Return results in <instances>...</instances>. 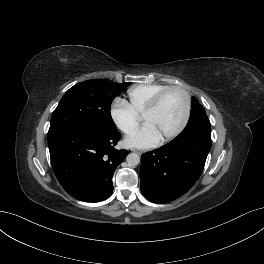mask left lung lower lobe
I'll return each instance as SVG.
<instances>
[{"instance_id": "1", "label": "left lung lower lobe", "mask_w": 264, "mask_h": 264, "mask_svg": "<svg viewBox=\"0 0 264 264\" xmlns=\"http://www.w3.org/2000/svg\"><path fill=\"white\" fill-rule=\"evenodd\" d=\"M210 148V124L200 119L188 123L169 144L143 154L140 169L143 196L153 203H167L185 194L201 175Z\"/></svg>"}]
</instances>
